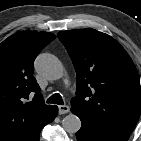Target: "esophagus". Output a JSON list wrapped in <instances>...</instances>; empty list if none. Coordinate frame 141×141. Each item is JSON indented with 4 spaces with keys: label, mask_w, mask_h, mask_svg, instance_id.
<instances>
[{
    "label": "esophagus",
    "mask_w": 141,
    "mask_h": 141,
    "mask_svg": "<svg viewBox=\"0 0 141 141\" xmlns=\"http://www.w3.org/2000/svg\"><path fill=\"white\" fill-rule=\"evenodd\" d=\"M59 114H66L70 111V107L68 105H60L58 106Z\"/></svg>",
    "instance_id": "obj_1"
}]
</instances>
